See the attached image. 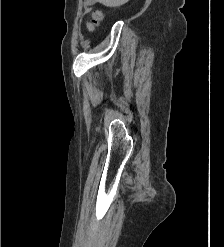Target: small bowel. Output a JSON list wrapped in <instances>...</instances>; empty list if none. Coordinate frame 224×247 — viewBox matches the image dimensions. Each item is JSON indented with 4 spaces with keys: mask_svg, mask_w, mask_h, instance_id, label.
Returning <instances> with one entry per match:
<instances>
[{
    "mask_svg": "<svg viewBox=\"0 0 224 247\" xmlns=\"http://www.w3.org/2000/svg\"><path fill=\"white\" fill-rule=\"evenodd\" d=\"M86 2V4L87 5H91V4H93V3H95L97 0H85Z\"/></svg>",
    "mask_w": 224,
    "mask_h": 247,
    "instance_id": "obj_1",
    "label": "small bowel"
}]
</instances>
